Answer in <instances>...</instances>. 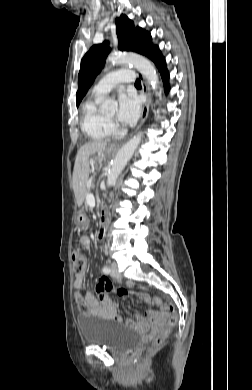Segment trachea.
Segmentation results:
<instances>
[{"label":"trachea","instance_id":"1","mask_svg":"<svg viewBox=\"0 0 252 390\" xmlns=\"http://www.w3.org/2000/svg\"><path fill=\"white\" fill-rule=\"evenodd\" d=\"M135 86H141V81L139 79L136 80Z\"/></svg>","mask_w":252,"mask_h":390}]
</instances>
